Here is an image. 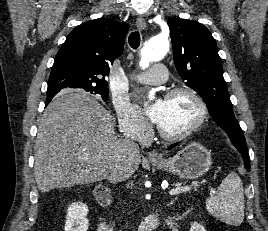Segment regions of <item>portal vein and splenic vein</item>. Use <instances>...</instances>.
I'll return each mask as SVG.
<instances>
[{
    "label": "portal vein and splenic vein",
    "mask_w": 268,
    "mask_h": 231,
    "mask_svg": "<svg viewBox=\"0 0 268 231\" xmlns=\"http://www.w3.org/2000/svg\"><path fill=\"white\" fill-rule=\"evenodd\" d=\"M188 190H189V187H176V188L170 190L169 194L176 195V194H179L181 192L188 191Z\"/></svg>",
    "instance_id": "18ae733b"
}]
</instances>
